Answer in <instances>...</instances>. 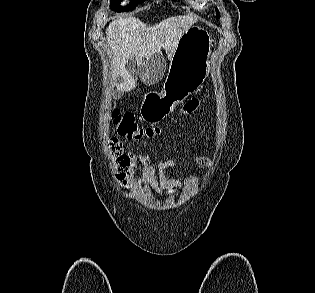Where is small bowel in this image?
Returning a JSON list of instances; mask_svg holds the SVG:
<instances>
[{
  "label": "small bowel",
  "mask_w": 315,
  "mask_h": 293,
  "mask_svg": "<svg viewBox=\"0 0 315 293\" xmlns=\"http://www.w3.org/2000/svg\"><path fill=\"white\" fill-rule=\"evenodd\" d=\"M134 155L131 154V157ZM195 162L200 165L206 166L208 159L204 156H193ZM139 160L143 166L142 179L139 183L140 187L150 186L159 195L173 194L182 186V182L177 179L168 178L166 176V169L177 165L176 159H169L161 162L157 167H154L151 163L150 156L147 154H141ZM134 167H131V171ZM124 188H131L133 181L128 179L123 182Z\"/></svg>",
  "instance_id": "1"
}]
</instances>
